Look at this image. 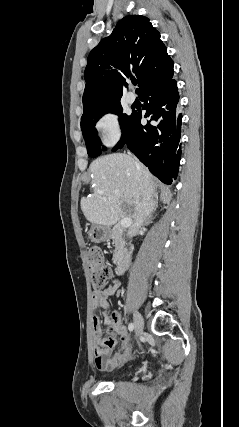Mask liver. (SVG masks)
<instances>
[{"mask_svg":"<svg viewBox=\"0 0 239 427\" xmlns=\"http://www.w3.org/2000/svg\"><path fill=\"white\" fill-rule=\"evenodd\" d=\"M89 172L93 193L80 202L89 222L110 227L120 218L135 220L145 193H149L152 200L147 214L153 210L154 177L131 155L113 153L99 157L90 164Z\"/></svg>","mask_w":239,"mask_h":427,"instance_id":"1","label":"liver"}]
</instances>
